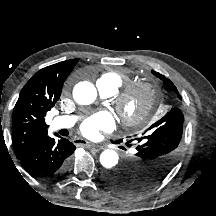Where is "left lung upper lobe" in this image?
<instances>
[{
	"instance_id": "1",
	"label": "left lung upper lobe",
	"mask_w": 216,
	"mask_h": 216,
	"mask_svg": "<svg viewBox=\"0 0 216 216\" xmlns=\"http://www.w3.org/2000/svg\"><path fill=\"white\" fill-rule=\"evenodd\" d=\"M163 81L165 89L178 90L165 76L152 71ZM184 116L174 105L160 120L152 124L137 141L136 153L125 161L122 174L114 175L108 184L122 195L144 192L162 181L173 168L180 154ZM120 142V141H118ZM121 167L111 172H119Z\"/></svg>"
}]
</instances>
